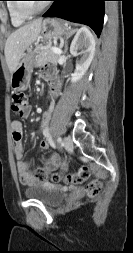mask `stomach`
Instances as JSON below:
<instances>
[{"mask_svg":"<svg viewBox=\"0 0 133 253\" xmlns=\"http://www.w3.org/2000/svg\"><path fill=\"white\" fill-rule=\"evenodd\" d=\"M66 33V27L56 19H45L42 22L41 32L38 40L46 43L52 42ZM35 50L33 46L27 48L17 68L11 74V88L14 91H24L28 88L33 66L35 64Z\"/></svg>","mask_w":133,"mask_h":253,"instance_id":"obj_1","label":"stomach"}]
</instances>
